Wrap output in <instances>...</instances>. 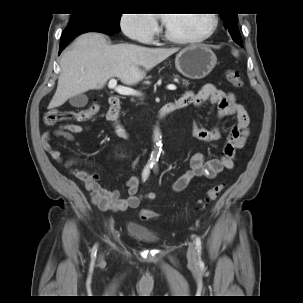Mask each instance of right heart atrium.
<instances>
[{"mask_svg":"<svg viewBox=\"0 0 303 303\" xmlns=\"http://www.w3.org/2000/svg\"><path fill=\"white\" fill-rule=\"evenodd\" d=\"M119 26L129 38L140 43H150L157 30L155 21L146 14H123Z\"/></svg>","mask_w":303,"mask_h":303,"instance_id":"1","label":"right heart atrium"}]
</instances>
